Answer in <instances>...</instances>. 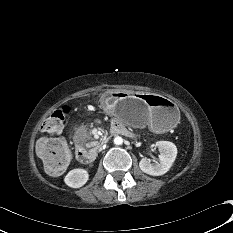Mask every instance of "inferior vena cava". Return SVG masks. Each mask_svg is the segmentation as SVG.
Listing matches in <instances>:
<instances>
[{
	"instance_id": "1",
	"label": "inferior vena cava",
	"mask_w": 233,
	"mask_h": 233,
	"mask_svg": "<svg viewBox=\"0 0 233 233\" xmlns=\"http://www.w3.org/2000/svg\"><path fill=\"white\" fill-rule=\"evenodd\" d=\"M98 150L101 151V150H102V146H100V147L98 148Z\"/></svg>"
}]
</instances>
